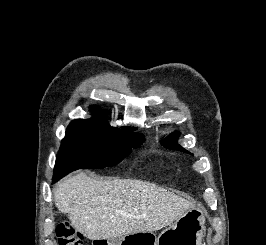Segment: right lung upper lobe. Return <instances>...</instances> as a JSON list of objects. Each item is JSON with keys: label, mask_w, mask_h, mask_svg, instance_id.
I'll return each mask as SVG.
<instances>
[{"label": "right lung upper lobe", "mask_w": 266, "mask_h": 245, "mask_svg": "<svg viewBox=\"0 0 266 245\" xmlns=\"http://www.w3.org/2000/svg\"><path fill=\"white\" fill-rule=\"evenodd\" d=\"M92 113L94 114L95 117H98L99 120L106 121L102 112L97 107H92ZM93 120H96V119H93Z\"/></svg>", "instance_id": "right-lung-upper-lobe-1"}]
</instances>
